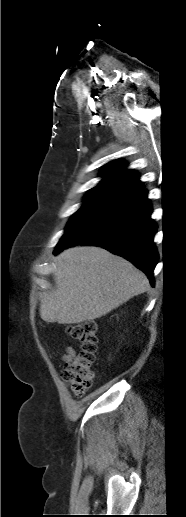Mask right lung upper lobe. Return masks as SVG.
<instances>
[{
	"label": "right lung upper lobe",
	"mask_w": 186,
	"mask_h": 517,
	"mask_svg": "<svg viewBox=\"0 0 186 517\" xmlns=\"http://www.w3.org/2000/svg\"><path fill=\"white\" fill-rule=\"evenodd\" d=\"M125 168L126 164L121 160L106 164L101 173L104 179L86 194L85 199L117 203L141 191L144 187L138 174Z\"/></svg>",
	"instance_id": "cb5924a9"
}]
</instances>
